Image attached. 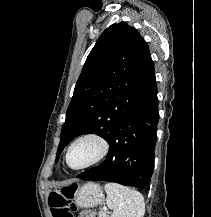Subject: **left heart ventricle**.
<instances>
[{"label":"left heart ventricle","instance_id":"b2bd125f","mask_svg":"<svg viewBox=\"0 0 211 217\" xmlns=\"http://www.w3.org/2000/svg\"><path fill=\"white\" fill-rule=\"evenodd\" d=\"M99 151L100 145L95 140H82L72 147L69 162L72 167H80L93 160Z\"/></svg>","mask_w":211,"mask_h":217}]
</instances>
